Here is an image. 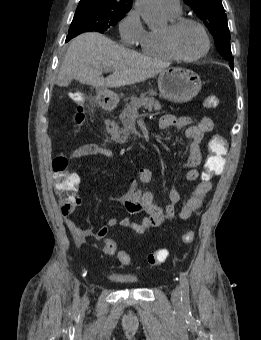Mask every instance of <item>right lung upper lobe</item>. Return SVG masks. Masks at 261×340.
<instances>
[{
    "label": "right lung upper lobe",
    "mask_w": 261,
    "mask_h": 340,
    "mask_svg": "<svg viewBox=\"0 0 261 340\" xmlns=\"http://www.w3.org/2000/svg\"><path fill=\"white\" fill-rule=\"evenodd\" d=\"M80 5H99V6H112L130 10L132 7V0H80Z\"/></svg>",
    "instance_id": "obj_1"
}]
</instances>
